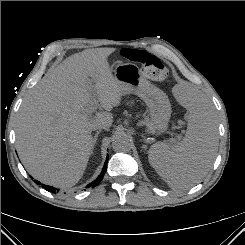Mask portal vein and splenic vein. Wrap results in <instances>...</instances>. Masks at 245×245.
<instances>
[{"instance_id":"1","label":"portal vein and splenic vein","mask_w":245,"mask_h":245,"mask_svg":"<svg viewBox=\"0 0 245 245\" xmlns=\"http://www.w3.org/2000/svg\"><path fill=\"white\" fill-rule=\"evenodd\" d=\"M98 106H99V101L97 99H94L92 101V109L93 110H96ZM171 142H174V139L173 138L171 139Z\"/></svg>"}]
</instances>
